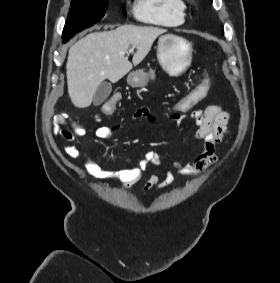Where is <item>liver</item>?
<instances>
[{
    "instance_id": "1",
    "label": "liver",
    "mask_w": 280,
    "mask_h": 283,
    "mask_svg": "<svg viewBox=\"0 0 280 283\" xmlns=\"http://www.w3.org/2000/svg\"><path fill=\"white\" fill-rule=\"evenodd\" d=\"M167 30L152 26L123 25L112 31L90 33L70 49L66 64L68 94L78 108L91 105L98 86L120 80L149 53L155 39ZM137 48L132 63L125 57Z\"/></svg>"
}]
</instances>
